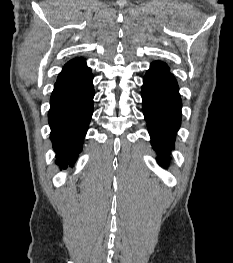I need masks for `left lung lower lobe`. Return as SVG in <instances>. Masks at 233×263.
<instances>
[{
    "instance_id": "0a47b994",
    "label": "left lung lower lobe",
    "mask_w": 233,
    "mask_h": 263,
    "mask_svg": "<svg viewBox=\"0 0 233 263\" xmlns=\"http://www.w3.org/2000/svg\"><path fill=\"white\" fill-rule=\"evenodd\" d=\"M141 95L151 144L159 154L157 162L167 168L181 123L182 102L176 79L165 63H151L143 78Z\"/></svg>"
}]
</instances>
